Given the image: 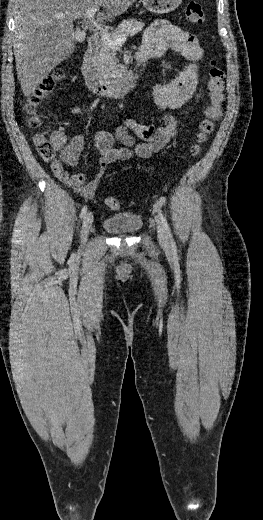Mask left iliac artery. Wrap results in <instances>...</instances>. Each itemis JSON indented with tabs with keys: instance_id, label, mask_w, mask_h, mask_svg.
Here are the masks:
<instances>
[{
	"instance_id": "1",
	"label": "left iliac artery",
	"mask_w": 263,
	"mask_h": 520,
	"mask_svg": "<svg viewBox=\"0 0 263 520\" xmlns=\"http://www.w3.org/2000/svg\"><path fill=\"white\" fill-rule=\"evenodd\" d=\"M158 216H159V218L161 220V223H162L164 229L166 230V233H167V235L169 237V240H170V244L174 248L175 247V242L173 240V237H172V234H171V231H170V227L168 225V222H167L166 218L161 213V210H158Z\"/></svg>"
}]
</instances>
